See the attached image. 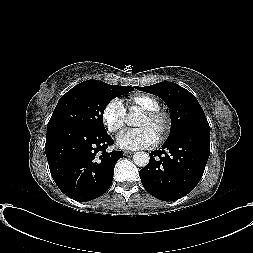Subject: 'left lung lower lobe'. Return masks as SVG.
<instances>
[{
    "mask_svg": "<svg viewBox=\"0 0 253 253\" xmlns=\"http://www.w3.org/2000/svg\"><path fill=\"white\" fill-rule=\"evenodd\" d=\"M210 154V132L187 130L152 151L139 171L144 188L163 201L177 200L199 183Z\"/></svg>",
    "mask_w": 253,
    "mask_h": 253,
    "instance_id": "obj_1",
    "label": "left lung lower lobe"
}]
</instances>
